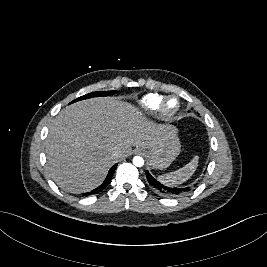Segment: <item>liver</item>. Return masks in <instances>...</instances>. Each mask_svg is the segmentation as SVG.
<instances>
[{"mask_svg":"<svg viewBox=\"0 0 267 267\" xmlns=\"http://www.w3.org/2000/svg\"><path fill=\"white\" fill-rule=\"evenodd\" d=\"M166 130L130 103L113 97L83 100L53 119L45 142L47 169L62 190L87 192L99 186L133 146L153 147ZM114 149H120L118 157Z\"/></svg>","mask_w":267,"mask_h":267,"instance_id":"1","label":"liver"}]
</instances>
